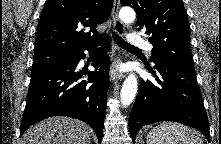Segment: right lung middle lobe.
Wrapping results in <instances>:
<instances>
[{
    "instance_id": "obj_1",
    "label": "right lung middle lobe",
    "mask_w": 221,
    "mask_h": 144,
    "mask_svg": "<svg viewBox=\"0 0 221 144\" xmlns=\"http://www.w3.org/2000/svg\"><path fill=\"white\" fill-rule=\"evenodd\" d=\"M72 54H62L57 52H45L34 54L33 65L31 69V75L46 70L47 68L54 66L67 60Z\"/></svg>"
}]
</instances>
